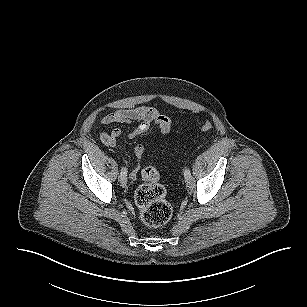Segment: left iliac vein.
<instances>
[{"label": "left iliac vein", "mask_w": 307, "mask_h": 307, "mask_svg": "<svg viewBox=\"0 0 307 307\" xmlns=\"http://www.w3.org/2000/svg\"><path fill=\"white\" fill-rule=\"evenodd\" d=\"M185 182H186V186L188 188H193L194 187V178L191 174H189L188 176L185 177Z\"/></svg>", "instance_id": "1"}]
</instances>
